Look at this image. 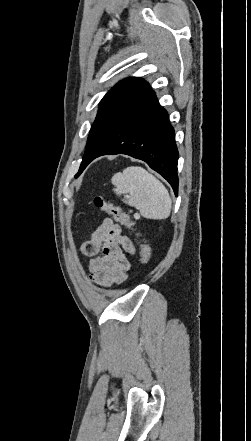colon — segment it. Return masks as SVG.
<instances>
[{"label": "colon", "mask_w": 251, "mask_h": 441, "mask_svg": "<svg viewBox=\"0 0 251 441\" xmlns=\"http://www.w3.org/2000/svg\"><path fill=\"white\" fill-rule=\"evenodd\" d=\"M94 204L96 207L101 209L102 211L109 214L116 221L121 223L122 225L135 230V222L131 219L130 214L128 212L123 211L120 207L114 205L110 202L104 195L99 194L94 197ZM139 238V234L136 233ZM151 257V251L149 246L140 239V260L141 263L147 264Z\"/></svg>", "instance_id": "1"}]
</instances>
